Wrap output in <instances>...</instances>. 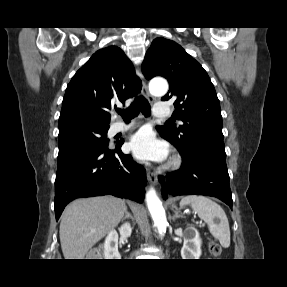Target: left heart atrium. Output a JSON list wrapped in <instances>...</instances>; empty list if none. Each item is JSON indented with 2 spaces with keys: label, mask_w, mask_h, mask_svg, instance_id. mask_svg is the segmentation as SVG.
<instances>
[{
  "label": "left heart atrium",
  "mask_w": 287,
  "mask_h": 287,
  "mask_svg": "<svg viewBox=\"0 0 287 287\" xmlns=\"http://www.w3.org/2000/svg\"><path fill=\"white\" fill-rule=\"evenodd\" d=\"M129 149L137 159L144 161H162L168 153L166 144L157 140L153 132L146 128L131 137Z\"/></svg>",
  "instance_id": "39dd6f15"
}]
</instances>
